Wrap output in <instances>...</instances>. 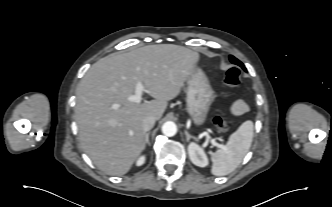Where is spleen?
I'll list each match as a JSON object with an SVG mask.
<instances>
[{
    "mask_svg": "<svg viewBox=\"0 0 332 207\" xmlns=\"http://www.w3.org/2000/svg\"><path fill=\"white\" fill-rule=\"evenodd\" d=\"M253 122L248 120L230 135L227 144L216 152L210 153L211 172L215 176H225L233 172L242 162L251 147Z\"/></svg>",
    "mask_w": 332,
    "mask_h": 207,
    "instance_id": "3e777b00",
    "label": "spleen"
}]
</instances>
